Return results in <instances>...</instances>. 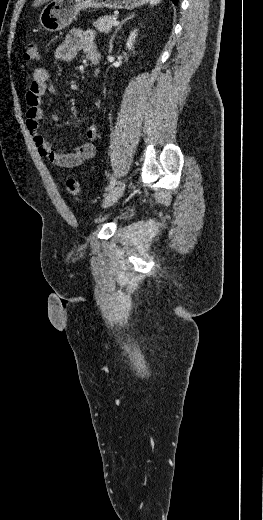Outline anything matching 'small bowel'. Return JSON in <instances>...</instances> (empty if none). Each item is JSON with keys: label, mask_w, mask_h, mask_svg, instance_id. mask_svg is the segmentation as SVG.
I'll return each mask as SVG.
<instances>
[{"label": "small bowel", "mask_w": 263, "mask_h": 520, "mask_svg": "<svg viewBox=\"0 0 263 520\" xmlns=\"http://www.w3.org/2000/svg\"><path fill=\"white\" fill-rule=\"evenodd\" d=\"M95 36L92 31L74 29L71 30L65 40L58 45L55 50V59L59 62H71L77 56L80 50H83L87 57L92 53H98L95 44ZM55 87L50 82V75L46 68L37 67L33 71V79L30 88L26 94V124L33 138L34 144L39 154L47 158L52 164L62 168H74L86 160L94 157L96 148L93 140L98 135V127L90 124L87 127L86 136L88 141L75 147L73 150L53 148L52 144L40 131V122L45 116V110L42 107L43 97L47 93H54ZM52 119H56V115H52Z\"/></svg>", "instance_id": "small-bowel-1"}]
</instances>
